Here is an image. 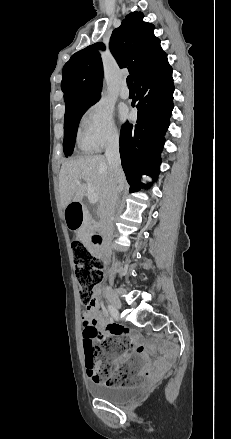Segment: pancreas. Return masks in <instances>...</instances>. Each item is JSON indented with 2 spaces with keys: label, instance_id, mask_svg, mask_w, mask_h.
<instances>
[{
  "label": "pancreas",
  "instance_id": "pancreas-1",
  "mask_svg": "<svg viewBox=\"0 0 231 439\" xmlns=\"http://www.w3.org/2000/svg\"><path fill=\"white\" fill-rule=\"evenodd\" d=\"M85 222L87 226H91L92 224H94V220L92 219V217L89 214H86L85 216Z\"/></svg>",
  "mask_w": 231,
  "mask_h": 439
}]
</instances>
